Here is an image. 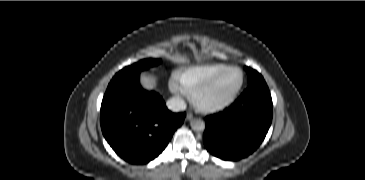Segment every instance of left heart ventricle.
<instances>
[{"mask_svg":"<svg viewBox=\"0 0 365 180\" xmlns=\"http://www.w3.org/2000/svg\"><path fill=\"white\" fill-rule=\"evenodd\" d=\"M241 81V74L237 70H229L221 75L214 84L199 96L202 105H213L229 99Z\"/></svg>","mask_w":365,"mask_h":180,"instance_id":"1","label":"left heart ventricle"}]
</instances>
